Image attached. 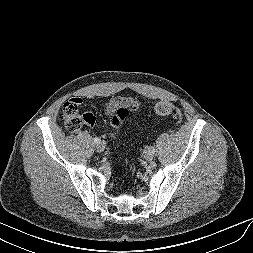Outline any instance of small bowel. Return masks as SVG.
<instances>
[{"mask_svg":"<svg viewBox=\"0 0 253 253\" xmlns=\"http://www.w3.org/2000/svg\"><path fill=\"white\" fill-rule=\"evenodd\" d=\"M121 106L127 107L129 111H136L139 107V102L132 97H115L106 104L105 112L113 117L116 110Z\"/></svg>","mask_w":253,"mask_h":253,"instance_id":"1","label":"small bowel"}]
</instances>
